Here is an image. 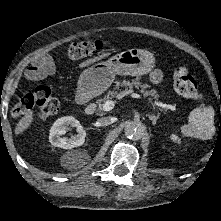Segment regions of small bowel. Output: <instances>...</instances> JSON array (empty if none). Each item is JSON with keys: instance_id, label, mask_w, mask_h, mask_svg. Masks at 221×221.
Wrapping results in <instances>:
<instances>
[{"instance_id": "obj_1", "label": "small bowel", "mask_w": 221, "mask_h": 221, "mask_svg": "<svg viewBox=\"0 0 221 221\" xmlns=\"http://www.w3.org/2000/svg\"><path fill=\"white\" fill-rule=\"evenodd\" d=\"M56 68L52 59L46 54H40L34 58L31 67L27 71L28 80H42L55 74ZM154 82H158L162 78L160 71H154L151 74Z\"/></svg>"}]
</instances>
